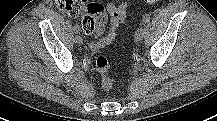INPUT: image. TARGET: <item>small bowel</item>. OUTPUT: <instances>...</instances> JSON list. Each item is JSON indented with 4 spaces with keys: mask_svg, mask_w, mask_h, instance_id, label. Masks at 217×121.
<instances>
[{
    "mask_svg": "<svg viewBox=\"0 0 217 121\" xmlns=\"http://www.w3.org/2000/svg\"><path fill=\"white\" fill-rule=\"evenodd\" d=\"M131 5L132 3L130 1L123 2L119 5H115L114 3L107 4V11L110 15V24L105 36H103L105 28L101 32L93 33L96 40L89 43V47L92 51L102 49L115 39L120 24L124 23L128 18V10Z\"/></svg>",
    "mask_w": 217,
    "mask_h": 121,
    "instance_id": "1",
    "label": "small bowel"
}]
</instances>
